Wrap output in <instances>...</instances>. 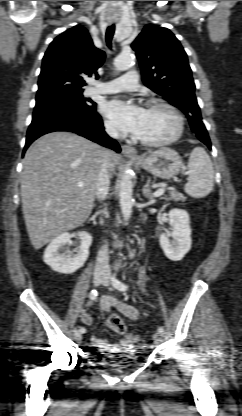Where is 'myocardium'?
<instances>
[{"label":"myocardium","mask_w":242,"mask_h":416,"mask_svg":"<svg viewBox=\"0 0 242 416\" xmlns=\"http://www.w3.org/2000/svg\"><path fill=\"white\" fill-rule=\"evenodd\" d=\"M155 107H161V108L167 109L174 116L175 121H176V127H175L174 133L171 136L165 139L159 140V141H147V140L137 137L136 135L133 137V139L136 142L140 143L141 145L146 146V147H152V148L169 145L175 142L181 137L183 130H184V119H183L181 112L178 110L177 107H175L173 104L167 101L160 100V99H154L147 103V108H155Z\"/></svg>","instance_id":"f54148a6"}]
</instances>
